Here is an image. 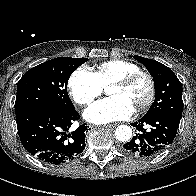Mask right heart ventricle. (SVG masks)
<instances>
[{
	"label": "right heart ventricle",
	"mask_w": 196,
	"mask_h": 196,
	"mask_svg": "<svg viewBox=\"0 0 196 196\" xmlns=\"http://www.w3.org/2000/svg\"><path fill=\"white\" fill-rule=\"evenodd\" d=\"M139 70L140 67L133 62L113 59L99 64L95 74L102 87H106L114 80Z\"/></svg>",
	"instance_id": "right-heart-ventricle-1"
}]
</instances>
